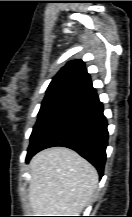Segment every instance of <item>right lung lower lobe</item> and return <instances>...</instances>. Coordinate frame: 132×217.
I'll use <instances>...</instances> for the list:
<instances>
[{
    "label": "right lung lower lobe",
    "instance_id": "right-lung-lower-lobe-1",
    "mask_svg": "<svg viewBox=\"0 0 132 217\" xmlns=\"http://www.w3.org/2000/svg\"><path fill=\"white\" fill-rule=\"evenodd\" d=\"M108 140L107 121L96 91L63 108L28 148L26 162L37 152L63 146L78 152L103 176Z\"/></svg>",
    "mask_w": 132,
    "mask_h": 217
}]
</instances>
